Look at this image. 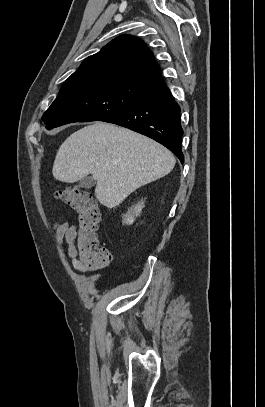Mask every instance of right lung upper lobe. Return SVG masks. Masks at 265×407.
I'll list each match as a JSON object with an SVG mask.
<instances>
[{
	"instance_id": "1",
	"label": "right lung upper lobe",
	"mask_w": 265,
	"mask_h": 407,
	"mask_svg": "<svg viewBox=\"0 0 265 407\" xmlns=\"http://www.w3.org/2000/svg\"><path fill=\"white\" fill-rule=\"evenodd\" d=\"M89 74L132 80L155 88L164 83L153 53L141 39L130 35L112 40L86 58L70 77Z\"/></svg>"
}]
</instances>
